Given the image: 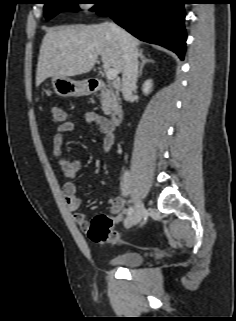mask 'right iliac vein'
<instances>
[{"label": "right iliac vein", "mask_w": 236, "mask_h": 321, "mask_svg": "<svg viewBox=\"0 0 236 321\" xmlns=\"http://www.w3.org/2000/svg\"><path fill=\"white\" fill-rule=\"evenodd\" d=\"M145 213V207L142 201L138 200L134 212L127 218L125 225L132 226L138 224Z\"/></svg>", "instance_id": "right-iliac-vein-1"}]
</instances>
